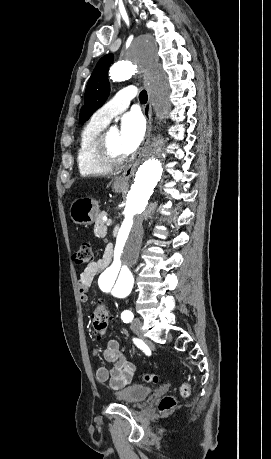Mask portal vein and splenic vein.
<instances>
[{
	"mask_svg": "<svg viewBox=\"0 0 271 459\" xmlns=\"http://www.w3.org/2000/svg\"><path fill=\"white\" fill-rule=\"evenodd\" d=\"M109 220L110 221H108L107 226H111V224H112V221H111L112 219L110 218Z\"/></svg>",
	"mask_w": 271,
	"mask_h": 459,
	"instance_id": "1",
	"label": "portal vein and splenic vein"
}]
</instances>
